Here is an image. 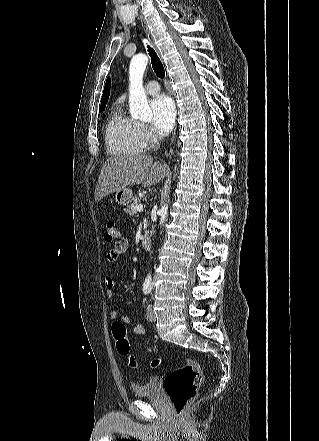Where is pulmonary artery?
Segmentation results:
<instances>
[{
	"mask_svg": "<svg viewBox=\"0 0 319 441\" xmlns=\"http://www.w3.org/2000/svg\"><path fill=\"white\" fill-rule=\"evenodd\" d=\"M159 90H160V86H159L158 82L154 81V80L149 81L145 87V91L148 94H156L159 92Z\"/></svg>",
	"mask_w": 319,
	"mask_h": 441,
	"instance_id": "obj_1",
	"label": "pulmonary artery"
}]
</instances>
